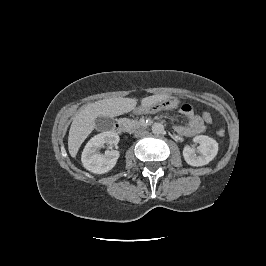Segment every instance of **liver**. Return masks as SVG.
Listing matches in <instances>:
<instances>
[{
    "label": "liver",
    "mask_w": 266,
    "mask_h": 266,
    "mask_svg": "<svg viewBox=\"0 0 266 266\" xmlns=\"http://www.w3.org/2000/svg\"><path fill=\"white\" fill-rule=\"evenodd\" d=\"M168 95H153L141 100L142 105H150L156 102L167 99ZM137 104L136 99L132 98H110L96 101L85 105L74 117L69 130L68 149L70 155L74 158L77 152L94 130L95 120L99 116L116 117L124 113H128L135 109Z\"/></svg>",
    "instance_id": "1"
}]
</instances>
